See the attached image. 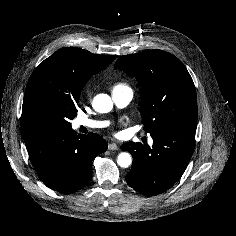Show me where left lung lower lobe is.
I'll return each mask as SVG.
<instances>
[{
	"mask_svg": "<svg viewBox=\"0 0 236 236\" xmlns=\"http://www.w3.org/2000/svg\"><path fill=\"white\" fill-rule=\"evenodd\" d=\"M152 147L146 143L128 142L121 146L133 156L127 183L146 196L161 194L183 175L193 153L195 132L162 129L150 133Z\"/></svg>",
	"mask_w": 236,
	"mask_h": 236,
	"instance_id": "1",
	"label": "left lung lower lobe"
}]
</instances>
